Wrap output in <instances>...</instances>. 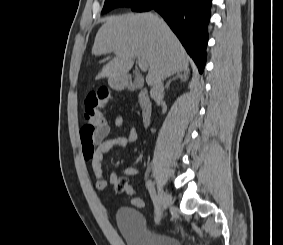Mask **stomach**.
Instances as JSON below:
<instances>
[{"instance_id":"stomach-1","label":"stomach","mask_w":283,"mask_h":245,"mask_svg":"<svg viewBox=\"0 0 283 245\" xmlns=\"http://www.w3.org/2000/svg\"><path fill=\"white\" fill-rule=\"evenodd\" d=\"M118 79L117 78H113L111 79V82H116Z\"/></svg>"}]
</instances>
